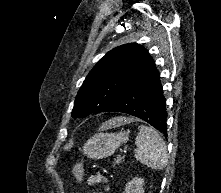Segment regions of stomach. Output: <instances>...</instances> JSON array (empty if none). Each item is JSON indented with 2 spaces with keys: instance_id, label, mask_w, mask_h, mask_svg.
Segmentation results:
<instances>
[{
  "instance_id": "stomach-1",
  "label": "stomach",
  "mask_w": 221,
  "mask_h": 193,
  "mask_svg": "<svg viewBox=\"0 0 221 193\" xmlns=\"http://www.w3.org/2000/svg\"><path fill=\"white\" fill-rule=\"evenodd\" d=\"M129 140V131L119 133H98L91 137L83 146V153L94 159L112 155L121 144Z\"/></svg>"
}]
</instances>
